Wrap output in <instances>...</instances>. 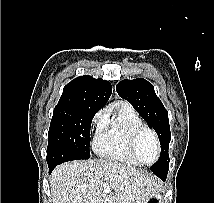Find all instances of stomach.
Here are the masks:
<instances>
[{"instance_id": "obj_1", "label": "stomach", "mask_w": 214, "mask_h": 203, "mask_svg": "<svg viewBox=\"0 0 214 203\" xmlns=\"http://www.w3.org/2000/svg\"><path fill=\"white\" fill-rule=\"evenodd\" d=\"M145 203H165L163 193L158 190L153 192L145 201Z\"/></svg>"}]
</instances>
